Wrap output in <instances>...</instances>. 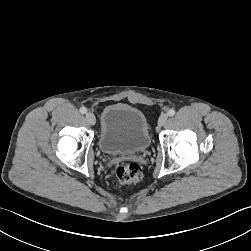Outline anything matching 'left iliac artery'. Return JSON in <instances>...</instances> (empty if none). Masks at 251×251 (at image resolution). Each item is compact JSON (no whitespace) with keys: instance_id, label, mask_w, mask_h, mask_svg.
<instances>
[{"instance_id":"obj_1","label":"left iliac artery","mask_w":251,"mask_h":251,"mask_svg":"<svg viewBox=\"0 0 251 251\" xmlns=\"http://www.w3.org/2000/svg\"><path fill=\"white\" fill-rule=\"evenodd\" d=\"M168 115H169V116H174V115H175V110H174V109H170V110L168 111Z\"/></svg>"}]
</instances>
